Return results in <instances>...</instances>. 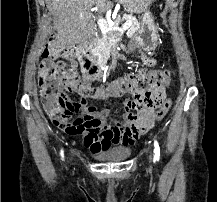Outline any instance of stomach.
Segmentation results:
<instances>
[{"label": "stomach", "mask_w": 217, "mask_h": 202, "mask_svg": "<svg viewBox=\"0 0 217 202\" xmlns=\"http://www.w3.org/2000/svg\"><path fill=\"white\" fill-rule=\"evenodd\" d=\"M151 6L152 4H150L144 14H142L140 28L131 40L132 46L141 48V50H145V52L155 50L158 40L157 26L151 12Z\"/></svg>", "instance_id": "stomach-1"}]
</instances>
